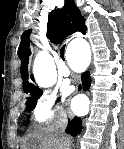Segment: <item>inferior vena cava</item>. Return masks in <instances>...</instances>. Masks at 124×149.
Here are the masks:
<instances>
[{"mask_svg":"<svg viewBox=\"0 0 124 149\" xmlns=\"http://www.w3.org/2000/svg\"><path fill=\"white\" fill-rule=\"evenodd\" d=\"M67 124V117L64 113H58L55 119L53 129L63 137V132Z\"/></svg>","mask_w":124,"mask_h":149,"instance_id":"602c4592","label":"inferior vena cava"}]
</instances>
